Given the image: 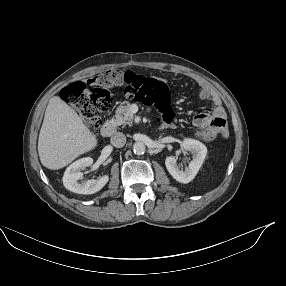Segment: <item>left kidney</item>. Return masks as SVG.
Wrapping results in <instances>:
<instances>
[{"instance_id":"obj_1","label":"left kidney","mask_w":286,"mask_h":286,"mask_svg":"<svg viewBox=\"0 0 286 286\" xmlns=\"http://www.w3.org/2000/svg\"><path fill=\"white\" fill-rule=\"evenodd\" d=\"M182 149L190 151L193 154V159L184 171L177 165V155L181 150L176 151V156H169L165 160V165L171 176L180 183H189L194 179L200 167L202 166L207 154V148L204 144L197 140L185 139L182 143Z\"/></svg>"}]
</instances>
